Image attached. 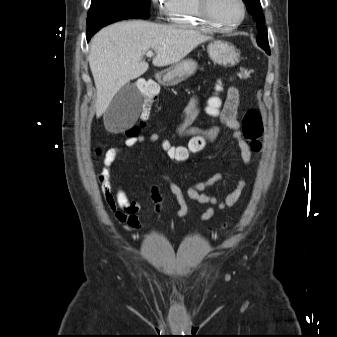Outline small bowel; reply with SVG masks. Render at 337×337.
Returning a JSON list of instances; mask_svg holds the SVG:
<instances>
[{"label":"small bowel","instance_id":"small-bowel-1","mask_svg":"<svg viewBox=\"0 0 337 337\" xmlns=\"http://www.w3.org/2000/svg\"><path fill=\"white\" fill-rule=\"evenodd\" d=\"M240 93L236 87H230L227 91V97L222 107H211V109H220L221 115L220 125L218 126H194L193 120L196 115L202 110L200 99H194L183 115L177 121L174 127V133L181 139H201L210 143L216 142L225 130L232 132L231 143L236 144L239 148V155L244 164L249 165L252 160V151L249 145L243 140L239 131L238 109H239ZM154 144L161 141L158 133H152L148 138L143 135L128 137L125 140V145L128 148H133L144 142ZM163 141H161V144ZM166 152V151H165ZM121 154V148L112 147L107 150L103 158V168L99 174V182L101 184V191L104 201L108 208L114 214L115 220L122 224L126 231H138L142 224L138 213L141 209V203L137 199L135 192L129 194L122 186L114 187L112 183L111 167L117 161ZM231 156L235 158L237 152L232 151ZM170 157V156H169ZM148 165L155 169V165L150 159H146ZM235 164L232 163L227 172L235 169ZM226 173H216L210 178L196 182L187 189V195L190 199L200 203L210 205L201 215L200 221L206 222L210 220L219 210H226L233 207L240 199L245 188V181H239L237 187L219 198L215 195L204 193V191L217 183L221 182ZM162 179L168 183L172 194L175 196L179 205L177 210V217L183 218L188 213V205L186 203L184 193L179 185H177L169 175L162 173ZM151 199L155 203L154 210L159 213L162 210V198L157 186H153L150 191Z\"/></svg>","mask_w":337,"mask_h":337}]
</instances>
